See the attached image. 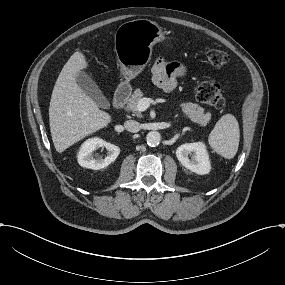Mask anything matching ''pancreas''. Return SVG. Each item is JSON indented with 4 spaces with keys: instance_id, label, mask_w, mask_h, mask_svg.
I'll list each match as a JSON object with an SVG mask.
<instances>
[{
    "instance_id": "obj_1",
    "label": "pancreas",
    "mask_w": 285,
    "mask_h": 285,
    "mask_svg": "<svg viewBox=\"0 0 285 285\" xmlns=\"http://www.w3.org/2000/svg\"><path fill=\"white\" fill-rule=\"evenodd\" d=\"M142 97L143 91L140 88L136 89L126 106V110H132V112L136 113L135 107L140 101V99H142ZM180 108L185 118H190L191 122L197 123L201 127L206 126L207 123L210 121L211 114L209 112L204 113V108L201 107L199 104L188 101L182 103L180 105Z\"/></svg>"
}]
</instances>
